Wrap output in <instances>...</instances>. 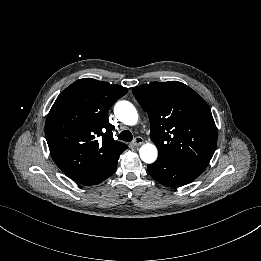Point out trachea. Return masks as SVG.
Wrapping results in <instances>:
<instances>
[{"label": "trachea", "mask_w": 261, "mask_h": 261, "mask_svg": "<svg viewBox=\"0 0 261 261\" xmlns=\"http://www.w3.org/2000/svg\"><path fill=\"white\" fill-rule=\"evenodd\" d=\"M118 138H119L120 140H124V141L130 142V141H132L133 136H132V133H131L130 131H128V130H123V131H121L120 134L118 135Z\"/></svg>", "instance_id": "obj_1"}]
</instances>
